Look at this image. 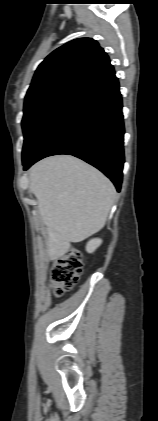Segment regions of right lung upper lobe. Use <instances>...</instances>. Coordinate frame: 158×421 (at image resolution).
Returning a JSON list of instances; mask_svg holds the SVG:
<instances>
[{
    "label": "right lung upper lobe",
    "instance_id": "right-lung-upper-lobe-1",
    "mask_svg": "<svg viewBox=\"0 0 158 421\" xmlns=\"http://www.w3.org/2000/svg\"><path fill=\"white\" fill-rule=\"evenodd\" d=\"M108 55L91 38L72 40L53 51L37 68L27 91L61 83L83 84L110 66Z\"/></svg>",
    "mask_w": 158,
    "mask_h": 421
}]
</instances>
